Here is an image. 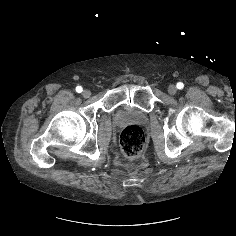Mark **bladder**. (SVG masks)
I'll return each mask as SVG.
<instances>
[{
	"instance_id": "obj_1",
	"label": "bladder",
	"mask_w": 236,
	"mask_h": 236,
	"mask_svg": "<svg viewBox=\"0 0 236 236\" xmlns=\"http://www.w3.org/2000/svg\"><path fill=\"white\" fill-rule=\"evenodd\" d=\"M118 116H119V118L124 119L127 117V112L125 110L121 109L118 111Z\"/></svg>"
}]
</instances>
